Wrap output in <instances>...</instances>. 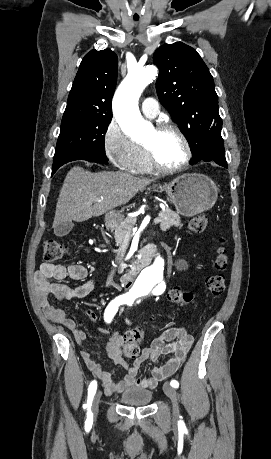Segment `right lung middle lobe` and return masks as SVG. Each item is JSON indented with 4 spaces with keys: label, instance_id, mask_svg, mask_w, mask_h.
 <instances>
[{
    "label": "right lung middle lobe",
    "instance_id": "obj_1",
    "mask_svg": "<svg viewBox=\"0 0 271 459\" xmlns=\"http://www.w3.org/2000/svg\"><path fill=\"white\" fill-rule=\"evenodd\" d=\"M111 119L112 115L64 114L54 160L73 152H85L107 158L104 135Z\"/></svg>",
    "mask_w": 271,
    "mask_h": 459
}]
</instances>
